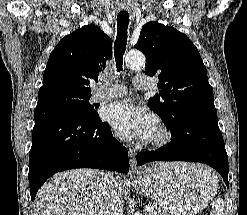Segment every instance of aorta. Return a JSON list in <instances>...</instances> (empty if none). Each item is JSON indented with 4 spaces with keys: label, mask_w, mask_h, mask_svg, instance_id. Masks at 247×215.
Returning <instances> with one entry per match:
<instances>
[{
    "label": "aorta",
    "mask_w": 247,
    "mask_h": 215,
    "mask_svg": "<svg viewBox=\"0 0 247 215\" xmlns=\"http://www.w3.org/2000/svg\"><path fill=\"white\" fill-rule=\"evenodd\" d=\"M127 66L132 69H139L145 65V56L139 51H131L125 57Z\"/></svg>",
    "instance_id": "1"
}]
</instances>
